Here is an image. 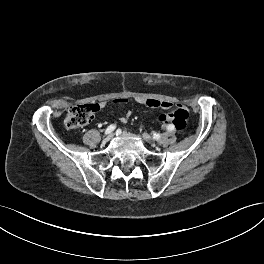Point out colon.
Here are the masks:
<instances>
[{"label": "colon", "mask_w": 264, "mask_h": 264, "mask_svg": "<svg viewBox=\"0 0 264 264\" xmlns=\"http://www.w3.org/2000/svg\"><path fill=\"white\" fill-rule=\"evenodd\" d=\"M116 101V100H115ZM98 104H78L72 106L66 115L65 125L69 129H78L87 125L93 118V115L98 111ZM189 113L187 109L178 105L173 111L163 113L158 117V120L163 124H172L176 131L183 132L186 128Z\"/></svg>", "instance_id": "5ec220e1"}]
</instances>
